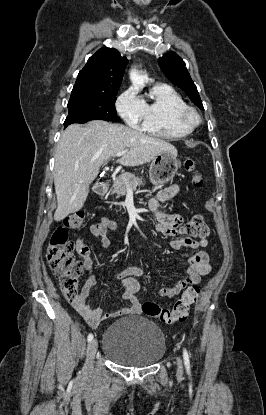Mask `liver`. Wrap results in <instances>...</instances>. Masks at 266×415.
<instances>
[{
	"mask_svg": "<svg viewBox=\"0 0 266 415\" xmlns=\"http://www.w3.org/2000/svg\"><path fill=\"white\" fill-rule=\"evenodd\" d=\"M123 150L126 153L118 162L124 166L148 163L162 151L177 155V149L170 143L121 124L93 120L86 125L73 124L66 128L55 154V221L83 207L89 185L97 177L101 165Z\"/></svg>",
	"mask_w": 266,
	"mask_h": 415,
	"instance_id": "6515ba94",
	"label": "liver"
}]
</instances>
